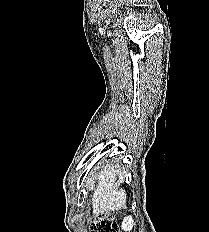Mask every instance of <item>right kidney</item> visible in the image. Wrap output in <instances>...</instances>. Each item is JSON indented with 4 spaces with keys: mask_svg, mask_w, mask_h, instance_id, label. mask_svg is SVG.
<instances>
[{
    "mask_svg": "<svg viewBox=\"0 0 209 232\" xmlns=\"http://www.w3.org/2000/svg\"><path fill=\"white\" fill-rule=\"evenodd\" d=\"M133 222L132 216L125 217L121 225L122 230L130 232L133 228Z\"/></svg>",
    "mask_w": 209,
    "mask_h": 232,
    "instance_id": "obj_1",
    "label": "right kidney"
}]
</instances>
